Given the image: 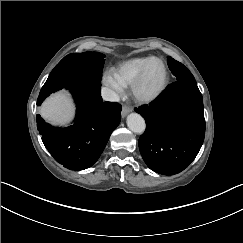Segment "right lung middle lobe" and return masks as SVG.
Masks as SVG:
<instances>
[{"label": "right lung middle lobe", "instance_id": "dd1d6c3e", "mask_svg": "<svg viewBox=\"0 0 243 243\" xmlns=\"http://www.w3.org/2000/svg\"><path fill=\"white\" fill-rule=\"evenodd\" d=\"M105 55L99 52L72 53L65 56L51 71L43 85L37 105L51 93L68 88L75 82L100 84Z\"/></svg>", "mask_w": 243, "mask_h": 243}]
</instances>
